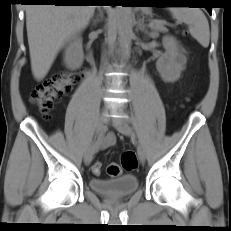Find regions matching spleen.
<instances>
[{"label":"spleen","instance_id":"obj_1","mask_svg":"<svg viewBox=\"0 0 231 231\" xmlns=\"http://www.w3.org/2000/svg\"><path fill=\"white\" fill-rule=\"evenodd\" d=\"M172 16L189 25V32L204 48L209 46L210 30L207 18L198 8L170 7Z\"/></svg>","mask_w":231,"mask_h":231}]
</instances>
